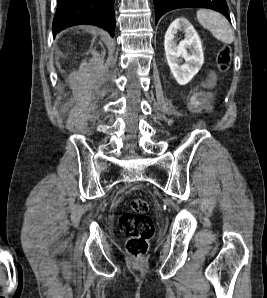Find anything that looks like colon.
<instances>
[{
    "label": "colon",
    "instance_id": "colon-1",
    "mask_svg": "<svg viewBox=\"0 0 267 298\" xmlns=\"http://www.w3.org/2000/svg\"><path fill=\"white\" fill-rule=\"evenodd\" d=\"M231 63V52L228 47L220 50L217 64L221 71H227ZM148 203L141 198L130 202V209L119 217L120 230L128 237L126 242L127 252L135 259L142 258L153 237L155 227L153 220L147 215Z\"/></svg>",
    "mask_w": 267,
    "mask_h": 298
}]
</instances>
